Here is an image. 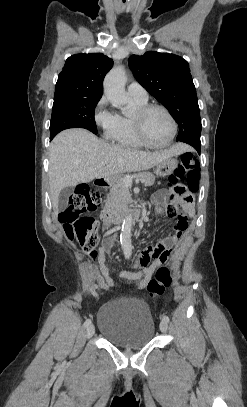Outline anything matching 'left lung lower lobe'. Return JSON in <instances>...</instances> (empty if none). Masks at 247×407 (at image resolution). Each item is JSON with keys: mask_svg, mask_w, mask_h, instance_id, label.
I'll list each match as a JSON object with an SVG mask.
<instances>
[{"mask_svg": "<svg viewBox=\"0 0 247 407\" xmlns=\"http://www.w3.org/2000/svg\"><path fill=\"white\" fill-rule=\"evenodd\" d=\"M182 142L193 146L197 150V152L200 154V148H201L200 138L184 139Z\"/></svg>", "mask_w": 247, "mask_h": 407, "instance_id": "0a47b994", "label": "left lung lower lobe"}]
</instances>
